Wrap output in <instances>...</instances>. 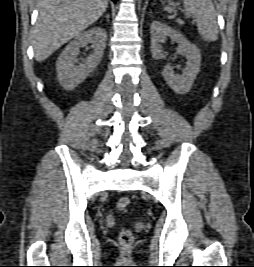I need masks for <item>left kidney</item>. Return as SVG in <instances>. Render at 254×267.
Wrapping results in <instances>:
<instances>
[{
    "label": "left kidney",
    "instance_id": "1",
    "mask_svg": "<svg viewBox=\"0 0 254 267\" xmlns=\"http://www.w3.org/2000/svg\"><path fill=\"white\" fill-rule=\"evenodd\" d=\"M151 54L155 59H163L164 54L161 44L164 43L166 37H170L178 43V54L183 55L187 59L186 67L182 70V75L175 74L173 68L167 64L164 67L162 76L164 77L170 88L178 93L185 94L190 91L196 75L200 70L201 54L199 49L191 44L182 34L160 21H154L151 24Z\"/></svg>",
    "mask_w": 254,
    "mask_h": 267
}]
</instances>
